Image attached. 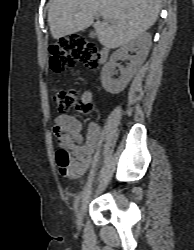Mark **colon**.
I'll return each instance as SVG.
<instances>
[{
    "label": "colon",
    "mask_w": 194,
    "mask_h": 250,
    "mask_svg": "<svg viewBox=\"0 0 194 250\" xmlns=\"http://www.w3.org/2000/svg\"><path fill=\"white\" fill-rule=\"evenodd\" d=\"M49 66L54 73H61L67 68L73 67L80 62L91 69L98 66L97 46L85 40L82 36L74 34L62 38L49 47ZM53 100L60 112H67L70 109H77L81 113H87L90 103L79 98L74 89L59 87L53 90ZM58 165L68 168L71 163L70 154L60 149L56 153Z\"/></svg>",
    "instance_id": "colon-1"
}]
</instances>
